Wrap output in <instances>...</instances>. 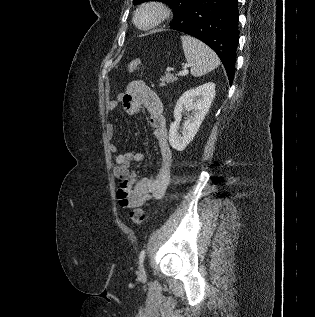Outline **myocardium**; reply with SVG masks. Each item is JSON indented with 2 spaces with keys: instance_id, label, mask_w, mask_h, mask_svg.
I'll return each instance as SVG.
<instances>
[{
  "instance_id": "obj_1",
  "label": "myocardium",
  "mask_w": 315,
  "mask_h": 317,
  "mask_svg": "<svg viewBox=\"0 0 315 317\" xmlns=\"http://www.w3.org/2000/svg\"><path fill=\"white\" fill-rule=\"evenodd\" d=\"M144 14L150 15L147 21L142 19ZM170 14V7L163 1L148 0L136 8L133 15V22L140 30H150L165 22Z\"/></svg>"
}]
</instances>
